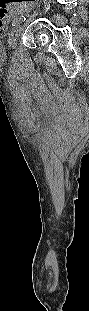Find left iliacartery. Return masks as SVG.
Listing matches in <instances>:
<instances>
[{"label":"left iliac artery","instance_id":"44dca946","mask_svg":"<svg viewBox=\"0 0 89 311\" xmlns=\"http://www.w3.org/2000/svg\"><path fill=\"white\" fill-rule=\"evenodd\" d=\"M25 19L26 18L24 16L17 18L16 20L13 21L12 26L22 23L23 21H25Z\"/></svg>","mask_w":89,"mask_h":311}]
</instances>
